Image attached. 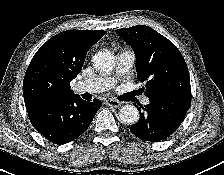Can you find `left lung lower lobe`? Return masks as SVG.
<instances>
[{
    "label": "left lung lower lobe",
    "mask_w": 224,
    "mask_h": 175,
    "mask_svg": "<svg viewBox=\"0 0 224 175\" xmlns=\"http://www.w3.org/2000/svg\"><path fill=\"white\" fill-rule=\"evenodd\" d=\"M145 105V114L130 127L136 137L145 141H161L173 134L181 125L190 108L191 101L164 98H151Z\"/></svg>",
    "instance_id": "left-lung-lower-lobe-1"
}]
</instances>
